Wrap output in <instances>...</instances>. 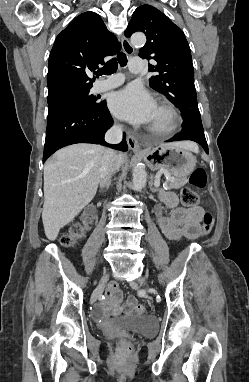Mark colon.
I'll list each match as a JSON object with an SVG mask.
<instances>
[{"label":"colon","instance_id":"colon-1","mask_svg":"<svg viewBox=\"0 0 249 382\" xmlns=\"http://www.w3.org/2000/svg\"><path fill=\"white\" fill-rule=\"evenodd\" d=\"M190 184L196 188H203L207 182L206 172L203 168H196L190 175ZM198 195L190 188H184L181 192V201L185 207H194L198 203ZM214 225V219L212 215L208 212L204 214L203 217V234H208ZM85 233L84 224L77 223L75 224L70 233L62 238V244L65 247H73L77 240L83 237ZM134 311L136 313H144L145 307L141 304H136L134 306ZM121 351L123 354H127L131 350V345L127 340H121L120 342Z\"/></svg>","mask_w":249,"mask_h":382}]
</instances>
